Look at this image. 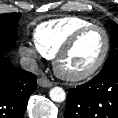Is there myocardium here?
<instances>
[{"mask_svg":"<svg viewBox=\"0 0 118 118\" xmlns=\"http://www.w3.org/2000/svg\"><path fill=\"white\" fill-rule=\"evenodd\" d=\"M100 30L105 38V47L103 50V53L101 55V57L99 58V60L89 69L80 72V73H68L66 71H64L61 67V61L64 58V56H66L71 49L74 47V45L78 42V40L87 32L91 31V30ZM110 47H111V40H110V36L107 32V30L100 26V25H96V24H91L85 27H82L80 29H78L77 31H75L63 44L62 46L58 49V51L56 52V54L53 57V68L55 73L63 80L66 81H80L83 79H86L90 76H92L93 74H95L105 63L109 51H110Z\"/></svg>","mask_w":118,"mask_h":118,"instance_id":"1","label":"myocardium"}]
</instances>
